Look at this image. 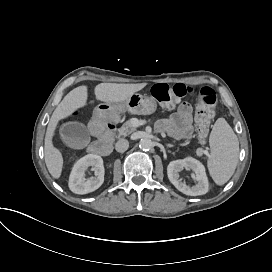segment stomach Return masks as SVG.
<instances>
[{
    "mask_svg": "<svg viewBox=\"0 0 272 272\" xmlns=\"http://www.w3.org/2000/svg\"><path fill=\"white\" fill-rule=\"evenodd\" d=\"M112 107L119 112L128 111L132 114L149 115L155 112L157 104L154 98L135 92Z\"/></svg>",
    "mask_w": 272,
    "mask_h": 272,
    "instance_id": "stomach-1",
    "label": "stomach"
}]
</instances>
